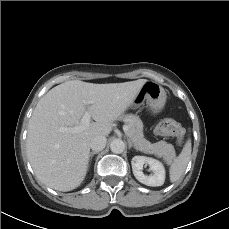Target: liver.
<instances>
[{
	"instance_id": "6515ba94",
	"label": "liver",
	"mask_w": 229,
	"mask_h": 229,
	"mask_svg": "<svg viewBox=\"0 0 229 229\" xmlns=\"http://www.w3.org/2000/svg\"><path fill=\"white\" fill-rule=\"evenodd\" d=\"M146 79L124 83L95 84L72 80L48 91L29 120L26 149L37 178L58 191H71L83 182L89 162L90 141L107 136L112 123L131 106ZM84 101L90 104L86 107ZM89 112L91 122L80 132L60 128L81 125Z\"/></svg>"
}]
</instances>
